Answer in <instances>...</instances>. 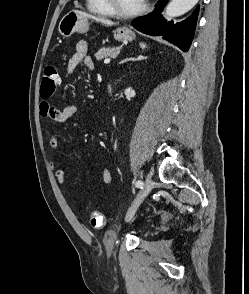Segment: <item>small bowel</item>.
<instances>
[{
    "mask_svg": "<svg viewBox=\"0 0 249 294\" xmlns=\"http://www.w3.org/2000/svg\"><path fill=\"white\" fill-rule=\"evenodd\" d=\"M89 46L86 41H79L75 46V51L68 61L67 71L72 73L74 69L82 64L86 69L92 70L94 67L91 57L88 55ZM82 112L78 107L74 105H68L63 109H58L49 102L40 103V115L49 123H62L68 119L80 115ZM48 144L53 153L57 152L58 140L52 133H48L47 136ZM51 167L54 172V176L57 182L61 186H66V176L62 169H59L55 165L54 159H51ZM112 183V175L109 169L105 166L102 167V186L107 187ZM76 200V199H74Z\"/></svg>",
    "mask_w": 249,
    "mask_h": 294,
    "instance_id": "small-bowel-1",
    "label": "small bowel"
}]
</instances>
